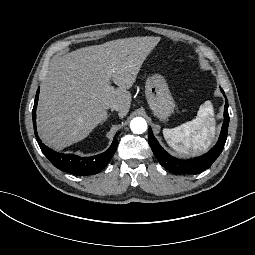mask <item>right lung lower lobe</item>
Listing matches in <instances>:
<instances>
[{
	"label": "right lung lower lobe",
	"instance_id": "1",
	"mask_svg": "<svg viewBox=\"0 0 255 255\" xmlns=\"http://www.w3.org/2000/svg\"><path fill=\"white\" fill-rule=\"evenodd\" d=\"M39 90H37L35 103L33 107L32 117L34 132L36 140L44 153V155L50 160V162L58 169L79 176H87L99 173L111 160L114 155L118 141L116 138L112 142L111 146L103 153L92 157H79L74 154H62L55 152L45 146L37 135L36 130V108L38 102Z\"/></svg>",
	"mask_w": 255,
	"mask_h": 255
}]
</instances>
